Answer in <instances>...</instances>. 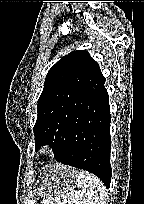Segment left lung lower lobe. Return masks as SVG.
Returning <instances> with one entry per match:
<instances>
[{
    "label": "left lung lower lobe",
    "mask_w": 144,
    "mask_h": 204,
    "mask_svg": "<svg viewBox=\"0 0 144 204\" xmlns=\"http://www.w3.org/2000/svg\"><path fill=\"white\" fill-rule=\"evenodd\" d=\"M101 71L87 86L86 100L63 141L53 147L55 159L97 175L107 188L111 181L110 107Z\"/></svg>",
    "instance_id": "left-lung-lower-lobe-1"
}]
</instances>
